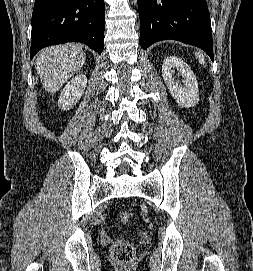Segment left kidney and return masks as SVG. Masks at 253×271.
I'll return each mask as SVG.
<instances>
[{
  "instance_id": "left-kidney-1",
  "label": "left kidney",
  "mask_w": 253,
  "mask_h": 271,
  "mask_svg": "<svg viewBox=\"0 0 253 271\" xmlns=\"http://www.w3.org/2000/svg\"><path fill=\"white\" fill-rule=\"evenodd\" d=\"M174 69L183 77L182 83L173 77ZM162 77L179 106L189 108L199 102V89L191 68L175 56L166 57L162 65Z\"/></svg>"
}]
</instances>
